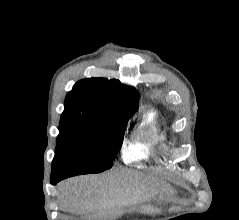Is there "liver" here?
Returning <instances> with one entry per match:
<instances>
[{"instance_id":"1","label":"liver","mask_w":239,"mask_h":220,"mask_svg":"<svg viewBox=\"0 0 239 220\" xmlns=\"http://www.w3.org/2000/svg\"><path fill=\"white\" fill-rule=\"evenodd\" d=\"M165 190L153 178L143 173L121 169L108 175H89L60 183L58 198L68 211L105 212L118 206L135 204Z\"/></svg>"}]
</instances>
